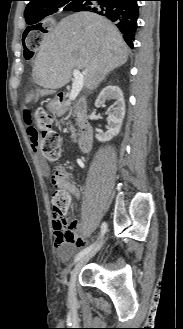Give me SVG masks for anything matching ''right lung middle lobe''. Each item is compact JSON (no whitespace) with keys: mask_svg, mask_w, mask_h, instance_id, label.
Returning <instances> with one entry per match:
<instances>
[{"mask_svg":"<svg viewBox=\"0 0 183 329\" xmlns=\"http://www.w3.org/2000/svg\"><path fill=\"white\" fill-rule=\"evenodd\" d=\"M80 1L81 0H61V1L55 2L42 15H37V16L31 17L29 21H26L28 24H35L34 26L27 29V31L34 30V29H41L40 23H38V22L41 21L44 17L51 15L53 13H56V12L62 11V10L69 11L74 6H76Z\"/></svg>","mask_w":183,"mask_h":329,"instance_id":"1","label":"right lung middle lobe"}]
</instances>
